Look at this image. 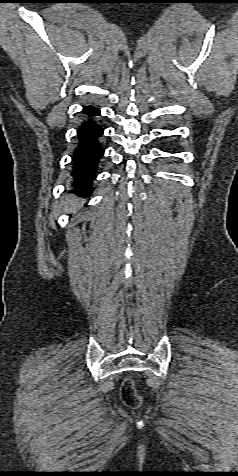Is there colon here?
<instances>
[{
    "mask_svg": "<svg viewBox=\"0 0 238 476\" xmlns=\"http://www.w3.org/2000/svg\"><path fill=\"white\" fill-rule=\"evenodd\" d=\"M120 396L122 401L129 407H137L141 402L135 385L131 379H126L122 383Z\"/></svg>",
    "mask_w": 238,
    "mask_h": 476,
    "instance_id": "5ec220e1",
    "label": "colon"
}]
</instances>
